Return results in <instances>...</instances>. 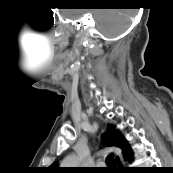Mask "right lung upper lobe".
Segmentation results:
<instances>
[{
    "label": "right lung upper lobe",
    "instance_id": "obj_1",
    "mask_svg": "<svg viewBox=\"0 0 173 173\" xmlns=\"http://www.w3.org/2000/svg\"><path fill=\"white\" fill-rule=\"evenodd\" d=\"M103 140L108 146L120 147L124 155L131 151L126 139L122 137L120 133L111 125H109L107 134L103 135ZM116 161L119 162L118 157L116 158ZM49 169L52 172H57L59 170L57 167V162L53 163Z\"/></svg>",
    "mask_w": 173,
    "mask_h": 173
}]
</instances>
